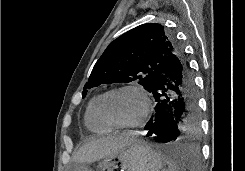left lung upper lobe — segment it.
<instances>
[{
    "mask_svg": "<svg viewBox=\"0 0 245 171\" xmlns=\"http://www.w3.org/2000/svg\"><path fill=\"white\" fill-rule=\"evenodd\" d=\"M179 47L175 37L160 24L148 23L129 30L111 42L98 59L84 86L83 98L87 89L116 82L138 81L150 92L166 58Z\"/></svg>",
    "mask_w": 245,
    "mask_h": 171,
    "instance_id": "obj_1",
    "label": "left lung upper lobe"
}]
</instances>
